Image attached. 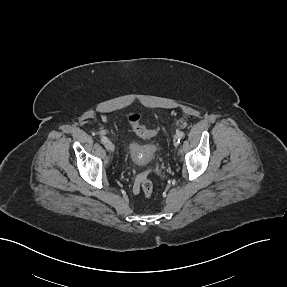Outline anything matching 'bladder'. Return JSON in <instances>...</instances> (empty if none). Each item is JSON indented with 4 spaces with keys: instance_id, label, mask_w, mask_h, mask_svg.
Returning <instances> with one entry per match:
<instances>
[{
    "instance_id": "31cf9c89",
    "label": "bladder",
    "mask_w": 287,
    "mask_h": 287,
    "mask_svg": "<svg viewBox=\"0 0 287 287\" xmlns=\"http://www.w3.org/2000/svg\"><path fill=\"white\" fill-rule=\"evenodd\" d=\"M156 146L154 145H139L131 143L128 148V155L131 162L135 166H148L152 163L156 156Z\"/></svg>"
}]
</instances>
